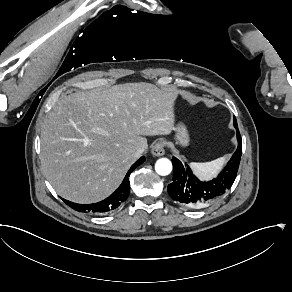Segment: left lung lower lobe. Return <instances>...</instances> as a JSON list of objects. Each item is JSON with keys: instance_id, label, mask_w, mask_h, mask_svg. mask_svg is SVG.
I'll return each instance as SVG.
<instances>
[{"instance_id": "left-lung-lower-lobe-1", "label": "left lung lower lobe", "mask_w": 292, "mask_h": 292, "mask_svg": "<svg viewBox=\"0 0 292 292\" xmlns=\"http://www.w3.org/2000/svg\"><path fill=\"white\" fill-rule=\"evenodd\" d=\"M237 130L238 148L217 178L208 182L197 179L189 166H183L173 157L174 174L168 185L170 197L178 204L189 209L202 208L217 202L229 190L237 176L242 155V141Z\"/></svg>"}]
</instances>
